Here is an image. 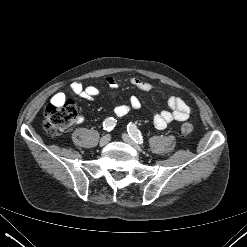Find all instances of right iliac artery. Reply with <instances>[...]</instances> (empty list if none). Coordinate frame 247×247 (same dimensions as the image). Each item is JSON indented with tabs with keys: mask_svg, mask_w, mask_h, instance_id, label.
I'll return each mask as SVG.
<instances>
[{
	"mask_svg": "<svg viewBox=\"0 0 247 247\" xmlns=\"http://www.w3.org/2000/svg\"><path fill=\"white\" fill-rule=\"evenodd\" d=\"M116 120L112 117L107 118L104 122H103V127L105 130L107 131H111L115 126H116Z\"/></svg>",
	"mask_w": 247,
	"mask_h": 247,
	"instance_id": "1",
	"label": "right iliac artery"
}]
</instances>
